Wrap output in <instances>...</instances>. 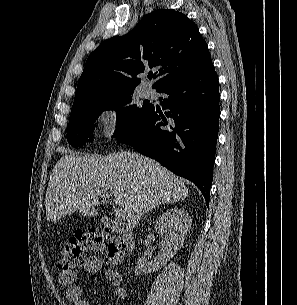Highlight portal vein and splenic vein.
I'll return each mask as SVG.
<instances>
[{"label":"portal vein and splenic vein","instance_id":"18ae733b","mask_svg":"<svg viewBox=\"0 0 297 305\" xmlns=\"http://www.w3.org/2000/svg\"><path fill=\"white\" fill-rule=\"evenodd\" d=\"M101 197H103V198L106 199V198H109V195L106 193V194H102ZM115 216H116V218H118V219L124 218V217H125V212H124V210H123L122 208H117V209L115 210Z\"/></svg>","mask_w":297,"mask_h":305}]
</instances>
